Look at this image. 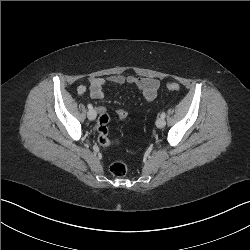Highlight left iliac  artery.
Returning <instances> with one entry per match:
<instances>
[{"mask_svg": "<svg viewBox=\"0 0 250 250\" xmlns=\"http://www.w3.org/2000/svg\"><path fill=\"white\" fill-rule=\"evenodd\" d=\"M165 116H166V114L163 112V113L161 114V117H162V118H165Z\"/></svg>", "mask_w": 250, "mask_h": 250, "instance_id": "44dca946", "label": "left iliac artery"}]
</instances>
